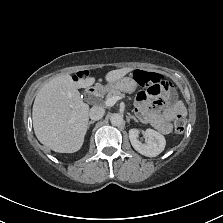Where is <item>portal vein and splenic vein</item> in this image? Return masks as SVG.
Segmentation results:
<instances>
[{
	"mask_svg": "<svg viewBox=\"0 0 223 223\" xmlns=\"http://www.w3.org/2000/svg\"><path fill=\"white\" fill-rule=\"evenodd\" d=\"M120 99V96H113L111 98H107V100L105 101V105L108 107H112Z\"/></svg>",
	"mask_w": 223,
	"mask_h": 223,
	"instance_id": "portal-vein-and-splenic-vein-1",
	"label": "portal vein and splenic vein"
}]
</instances>
